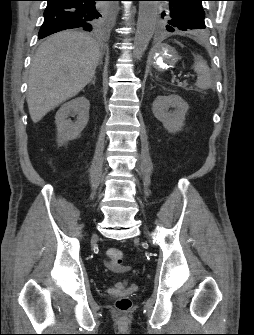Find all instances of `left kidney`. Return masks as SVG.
<instances>
[{
    "mask_svg": "<svg viewBox=\"0 0 254 335\" xmlns=\"http://www.w3.org/2000/svg\"><path fill=\"white\" fill-rule=\"evenodd\" d=\"M169 108H174L169 111ZM189 105L179 95L158 96L153 104L154 116L162 122L169 133H176L182 129Z\"/></svg>",
    "mask_w": 254,
    "mask_h": 335,
    "instance_id": "left-kidney-1",
    "label": "left kidney"
}]
</instances>
